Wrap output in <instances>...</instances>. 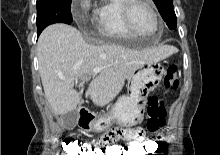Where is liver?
<instances>
[{"mask_svg":"<svg viewBox=\"0 0 220 155\" xmlns=\"http://www.w3.org/2000/svg\"><path fill=\"white\" fill-rule=\"evenodd\" d=\"M173 53L169 46L133 50L113 44H88L76 28L62 23L45 28L37 43L39 73L55 115L76 109L80 96L73 89L74 82L78 79L88 82L93 68L102 70L91 81L88 94L94 104L104 106L120 93L125 80L136 70Z\"/></svg>","mask_w":220,"mask_h":155,"instance_id":"obj_1","label":"liver"}]
</instances>
